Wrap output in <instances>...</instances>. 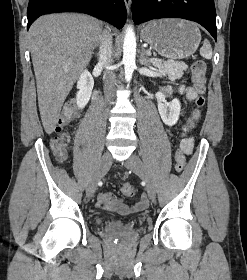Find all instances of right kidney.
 <instances>
[{
    "label": "right kidney",
    "instance_id": "obj_1",
    "mask_svg": "<svg viewBox=\"0 0 247 280\" xmlns=\"http://www.w3.org/2000/svg\"><path fill=\"white\" fill-rule=\"evenodd\" d=\"M94 86V80L91 74L85 70L77 82V89L79 90L76 94L77 105L80 109H83L88 103L92 89Z\"/></svg>",
    "mask_w": 247,
    "mask_h": 280
}]
</instances>
